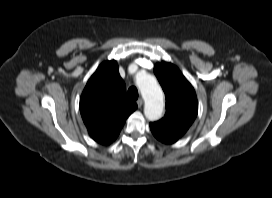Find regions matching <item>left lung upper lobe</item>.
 <instances>
[{
  "mask_svg": "<svg viewBox=\"0 0 272 198\" xmlns=\"http://www.w3.org/2000/svg\"><path fill=\"white\" fill-rule=\"evenodd\" d=\"M154 73L165 92L167 102L164 117L151 124L181 137L189 129L198 113L195 91L172 63H157Z\"/></svg>",
  "mask_w": 272,
  "mask_h": 198,
  "instance_id": "5c2ea615",
  "label": "left lung upper lobe"
}]
</instances>
